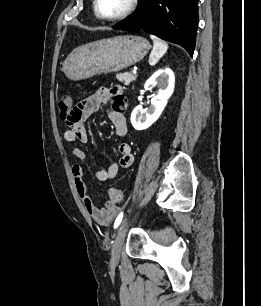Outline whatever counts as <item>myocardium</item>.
Returning <instances> with one entry per match:
<instances>
[{
  "mask_svg": "<svg viewBox=\"0 0 261 306\" xmlns=\"http://www.w3.org/2000/svg\"><path fill=\"white\" fill-rule=\"evenodd\" d=\"M139 0H129L127 7L119 14L115 16H104L98 9V0H93V10L97 18L103 21L114 22L122 20L129 16L137 7Z\"/></svg>",
  "mask_w": 261,
  "mask_h": 306,
  "instance_id": "f54148a6",
  "label": "myocardium"
}]
</instances>
